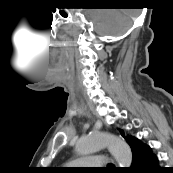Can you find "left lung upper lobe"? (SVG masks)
Segmentation results:
<instances>
[{"label":"left lung upper lobe","instance_id":"5c2ea615","mask_svg":"<svg viewBox=\"0 0 173 173\" xmlns=\"http://www.w3.org/2000/svg\"><path fill=\"white\" fill-rule=\"evenodd\" d=\"M132 137L129 136L128 138H126V141L129 143L131 141Z\"/></svg>","mask_w":173,"mask_h":173}]
</instances>
